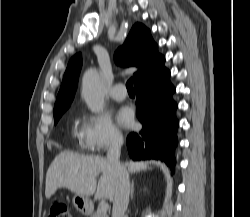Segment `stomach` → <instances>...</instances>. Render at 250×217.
Wrapping results in <instances>:
<instances>
[{
	"label": "stomach",
	"mask_w": 250,
	"mask_h": 217,
	"mask_svg": "<svg viewBox=\"0 0 250 217\" xmlns=\"http://www.w3.org/2000/svg\"><path fill=\"white\" fill-rule=\"evenodd\" d=\"M72 202L75 208L83 215L91 214L93 203L89 197L76 194L73 197Z\"/></svg>",
	"instance_id": "1"
}]
</instances>
